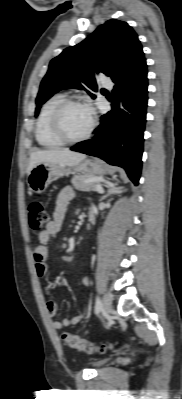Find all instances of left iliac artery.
<instances>
[{
    "instance_id": "1",
    "label": "left iliac artery",
    "mask_w": 182,
    "mask_h": 399,
    "mask_svg": "<svg viewBox=\"0 0 182 399\" xmlns=\"http://www.w3.org/2000/svg\"><path fill=\"white\" fill-rule=\"evenodd\" d=\"M102 309V301L99 297H96L95 301V313L98 315Z\"/></svg>"
}]
</instances>
